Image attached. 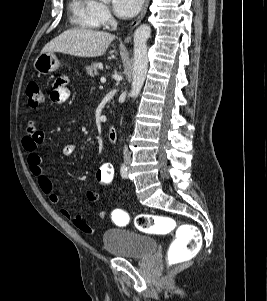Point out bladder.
<instances>
[{
    "mask_svg": "<svg viewBox=\"0 0 267 301\" xmlns=\"http://www.w3.org/2000/svg\"><path fill=\"white\" fill-rule=\"evenodd\" d=\"M102 245L108 253L126 259H142L153 254L157 248L153 238L123 228L105 230Z\"/></svg>",
    "mask_w": 267,
    "mask_h": 301,
    "instance_id": "bladder-1",
    "label": "bladder"
}]
</instances>
